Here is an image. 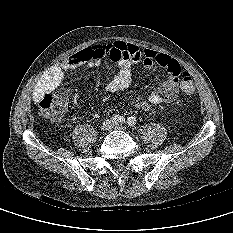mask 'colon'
<instances>
[{
  "label": "colon",
  "instance_id": "5ec220e1",
  "mask_svg": "<svg viewBox=\"0 0 233 233\" xmlns=\"http://www.w3.org/2000/svg\"><path fill=\"white\" fill-rule=\"evenodd\" d=\"M181 90L186 94L195 91V85L188 72H183L180 78ZM38 105L42 113L49 118H58L62 115L66 106V93L58 91L56 93H44L38 100Z\"/></svg>",
  "mask_w": 233,
  "mask_h": 233
}]
</instances>
